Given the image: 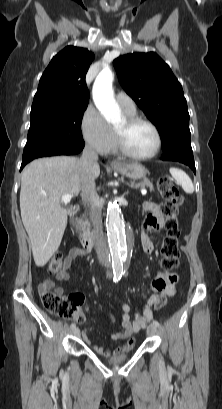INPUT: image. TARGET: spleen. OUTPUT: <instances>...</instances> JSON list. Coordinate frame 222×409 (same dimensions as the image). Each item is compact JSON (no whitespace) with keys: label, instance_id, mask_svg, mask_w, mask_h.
<instances>
[{"label":"spleen","instance_id":"spleen-1","mask_svg":"<svg viewBox=\"0 0 222 409\" xmlns=\"http://www.w3.org/2000/svg\"><path fill=\"white\" fill-rule=\"evenodd\" d=\"M169 171L172 177L181 185V187L186 193L189 194L193 193L194 191L193 183L189 176L184 171L174 167L170 168Z\"/></svg>","mask_w":222,"mask_h":409}]
</instances>
